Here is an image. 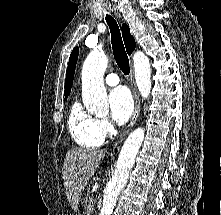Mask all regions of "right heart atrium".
Segmentation results:
<instances>
[{"label":"right heart atrium","mask_w":221,"mask_h":215,"mask_svg":"<svg viewBox=\"0 0 221 215\" xmlns=\"http://www.w3.org/2000/svg\"><path fill=\"white\" fill-rule=\"evenodd\" d=\"M96 131L101 138L111 136L115 133L113 123L106 118L96 119Z\"/></svg>","instance_id":"d8ad5b80"}]
</instances>
